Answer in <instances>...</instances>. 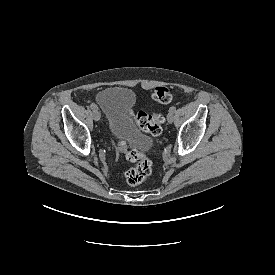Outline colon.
Masks as SVG:
<instances>
[{
  "mask_svg": "<svg viewBox=\"0 0 275 275\" xmlns=\"http://www.w3.org/2000/svg\"><path fill=\"white\" fill-rule=\"evenodd\" d=\"M152 99L158 104H167L172 99V92L166 87H157L152 93ZM134 119L139 127L152 136H158L162 132L164 117L154 111L146 113L142 110L134 114ZM115 150L119 154H124L129 162H136V165L125 173V180L131 186L142 183L152 172V162L141 151L131 149L123 141L115 144Z\"/></svg>",
  "mask_w": 275,
  "mask_h": 275,
  "instance_id": "5ec220e1",
  "label": "colon"
}]
</instances>
